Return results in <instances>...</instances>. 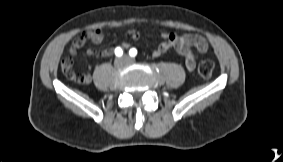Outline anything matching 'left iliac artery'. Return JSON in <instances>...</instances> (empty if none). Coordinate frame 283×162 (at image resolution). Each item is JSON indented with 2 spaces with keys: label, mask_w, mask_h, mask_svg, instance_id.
I'll list each match as a JSON object with an SVG mask.
<instances>
[{
  "label": "left iliac artery",
  "mask_w": 283,
  "mask_h": 162,
  "mask_svg": "<svg viewBox=\"0 0 283 162\" xmlns=\"http://www.w3.org/2000/svg\"><path fill=\"white\" fill-rule=\"evenodd\" d=\"M129 55H130L131 57H135V56L137 55V50H136L135 48H131V49L129 50Z\"/></svg>",
  "instance_id": "obj_1"
}]
</instances>
